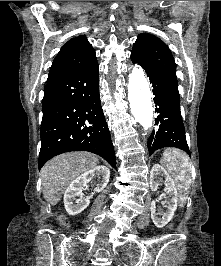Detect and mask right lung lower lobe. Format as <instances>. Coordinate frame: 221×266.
<instances>
[{
	"mask_svg": "<svg viewBox=\"0 0 221 266\" xmlns=\"http://www.w3.org/2000/svg\"><path fill=\"white\" fill-rule=\"evenodd\" d=\"M39 169L52 157L89 151L116 167L99 95V67L91 65L45 85Z\"/></svg>",
	"mask_w": 221,
	"mask_h": 266,
	"instance_id": "right-lung-lower-lobe-1",
	"label": "right lung lower lobe"
}]
</instances>
